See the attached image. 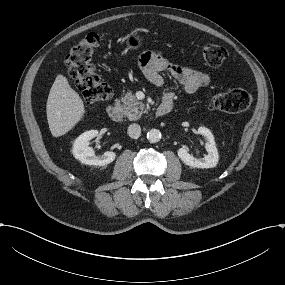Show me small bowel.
Wrapping results in <instances>:
<instances>
[{
  "label": "small bowel",
  "mask_w": 285,
  "mask_h": 285,
  "mask_svg": "<svg viewBox=\"0 0 285 285\" xmlns=\"http://www.w3.org/2000/svg\"><path fill=\"white\" fill-rule=\"evenodd\" d=\"M139 66L146 79L155 86H162L164 79L162 72L170 73L187 93H194L198 89L211 84L212 78L195 68L180 64L168 59L161 52L148 51L141 55ZM164 97H171L173 93L167 92Z\"/></svg>",
  "instance_id": "1"
}]
</instances>
